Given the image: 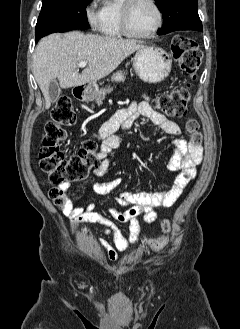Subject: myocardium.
<instances>
[{"mask_svg":"<svg viewBox=\"0 0 240 329\" xmlns=\"http://www.w3.org/2000/svg\"><path fill=\"white\" fill-rule=\"evenodd\" d=\"M138 0H123L122 8H121V28L123 33L130 38H138V39H145L154 36L162 27L164 22V14L157 3L156 0H148V2L154 7L157 13V23L156 25L146 33H138L134 32L130 27V18H131V11L133 6Z\"/></svg>","mask_w":240,"mask_h":329,"instance_id":"f54148a6","label":"myocardium"}]
</instances>
